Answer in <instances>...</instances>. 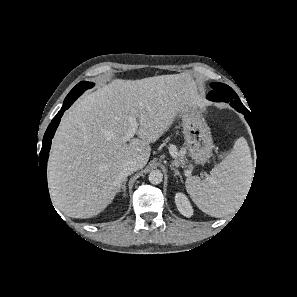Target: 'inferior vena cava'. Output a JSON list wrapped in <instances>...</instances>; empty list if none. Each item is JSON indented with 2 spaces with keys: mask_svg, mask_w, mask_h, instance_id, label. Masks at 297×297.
<instances>
[{
  "mask_svg": "<svg viewBox=\"0 0 297 297\" xmlns=\"http://www.w3.org/2000/svg\"><path fill=\"white\" fill-rule=\"evenodd\" d=\"M139 169L138 164L133 160H128L121 166V174L126 177Z\"/></svg>",
  "mask_w": 297,
  "mask_h": 297,
  "instance_id": "obj_1",
  "label": "inferior vena cava"
}]
</instances>
